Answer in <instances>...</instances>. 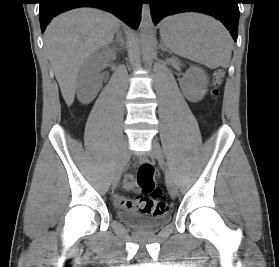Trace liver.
I'll use <instances>...</instances> for the list:
<instances>
[{
    "label": "liver",
    "instance_id": "6515ba94",
    "mask_svg": "<svg viewBox=\"0 0 279 267\" xmlns=\"http://www.w3.org/2000/svg\"><path fill=\"white\" fill-rule=\"evenodd\" d=\"M119 27L117 17L94 8L60 14L47 26L45 51L68 106L74 102L77 77L84 61L109 44Z\"/></svg>",
    "mask_w": 279,
    "mask_h": 267
}]
</instances>
